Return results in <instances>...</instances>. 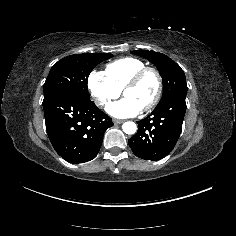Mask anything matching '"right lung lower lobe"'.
<instances>
[{"label": "right lung lower lobe", "instance_id": "obj_1", "mask_svg": "<svg viewBox=\"0 0 236 236\" xmlns=\"http://www.w3.org/2000/svg\"><path fill=\"white\" fill-rule=\"evenodd\" d=\"M46 131L55 151L79 164L94 159L112 119L88 100L64 93L43 100Z\"/></svg>", "mask_w": 236, "mask_h": 236}]
</instances>
